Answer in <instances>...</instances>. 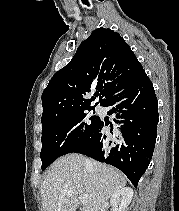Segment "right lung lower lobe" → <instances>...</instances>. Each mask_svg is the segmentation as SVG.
<instances>
[{"instance_id":"right-lung-lower-lobe-1","label":"right lung lower lobe","mask_w":179,"mask_h":211,"mask_svg":"<svg viewBox=\"0 0 179 211\" xmlns=\"http://www.w3.org/2000/svg\"><path fill=\"white\" fill-rule=\"evenodd\" d=\"M121 102L115 105L116 102ZM111 107L109 114L116 113L121 125V141L107 151L102 150V134L108 122L100 120L92 136L73 152L81 153L100 162L120 169L136 187L145 173L153 155L158 124V101L152 82L142 71L137 78L124 87L118 95H113L104 105ZM112 127V124H110ZM111 145V141L109 146Z\"/></svg>"}]
</instances>
